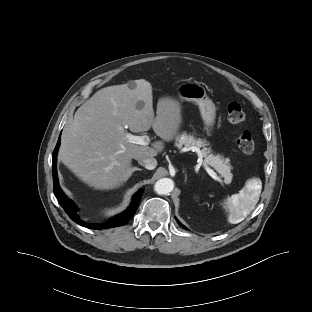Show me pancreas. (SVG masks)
<instances>
[{"instance_id":"cf45deb5","label":"pancreas","mask_w":312,"mask_h":312,"mask_svg":"<svg viewBox=\"0 0 312 312\" xmlns=\"http://www.w3.org/2000/svg\"><path fill=\"white\" fill-rule=\"evenodd\" d=\"M176 146L178 148H182L183 146L189 148L191 146H194L196 148H201L202 146H205L206 143L202 141L201 139H195L191 135H187L186 133L179 135L176 138ZM209 151H207L206 148L201 150V154L203 157H205V163L211 165L213 168L216 169V171L224 178V182L226 184L231 183L232 181V173H231V165L229 163V159L222 158L221 156L217 155L214 156L212 154L208 155Z\"/></svg>"}]
</instances>
